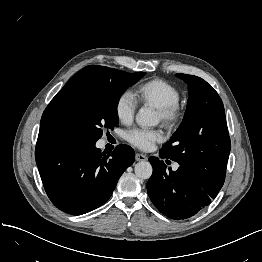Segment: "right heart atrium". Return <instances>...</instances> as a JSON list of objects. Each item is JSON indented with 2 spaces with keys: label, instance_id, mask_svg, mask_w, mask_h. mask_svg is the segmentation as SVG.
Here are the masks:
<instances>
[{
  "label": "right heart atrium",
  "instance_id": "d8ad5b80",
  "mask_svg": "<svg viewBox=\"0 0 262 262\" xmlns=\"http://www.w3.org/2000/svg\"><path fill=\"white\" fill-rule=\"evenodd\" d=\"M137 108V101L130 92L122 93L116 101L115 113L118 120L124 124L130 123Z\"/></svg>",
  "mask_w": 262,
  "mask_h": 262
}]
</instances>
